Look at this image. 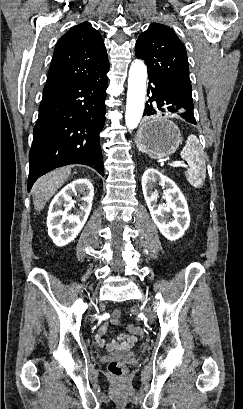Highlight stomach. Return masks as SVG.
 Listing matches in <instances>:
<instances>
[{
  "instance_id": "0dacf381",
  "label": "stomach",
  "mask_w": 243,
  "mask_h": 409,
  "mask_svg": "<svg viewBox=\"0 0 243 409\" xmlns=\"http://www.w3.org/2000/svg\"><path fill=\"white\" fill-rule=\"evenodd\" d=\"M139 151L151 158L161 159L174 153L181 143L178 126L166 117L156 116L147 119L136 135Z\"/></svg>"
}]
</instances>
